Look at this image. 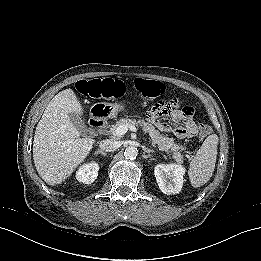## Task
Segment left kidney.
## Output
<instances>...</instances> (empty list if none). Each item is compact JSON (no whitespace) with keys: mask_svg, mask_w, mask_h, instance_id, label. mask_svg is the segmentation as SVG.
<instances>
[{"mask_svg":"<svg viewBox=\"0 0 261 261\" xmlns=\"http://www.w3.org/2000/svg\"><path fill=\"white\" fill-rule=\"evenodd\" d=\"M159 188L165 194H178L183 185L184 168L176 164H159L155 167Z\"/></svg>","mask_w":261,"mask_h":261,"instance_id":"obj_1","label":"left kidney"}]
</instances>
